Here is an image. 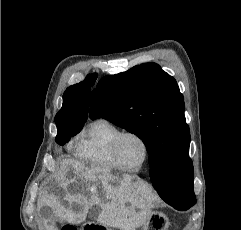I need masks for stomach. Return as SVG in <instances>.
<instances>
[{"label":"stomach","instance_id":"1","mask_svg":"<svg viewBox=\"0 0 241 230\" xmlns=\"http://www.w3.org/2000/svg\"><path fill=\"white\" fill-rule=\"evenodd\" d=\"M88 226H97L98 230H121L119 228L115 227H109L103 224H95V223H88L85 224ZM169 220L167 216L161 212L158 211H151V213L148 215L145 223L140 226V230H168L169 228Z\"/></svg>","mask_w":241,"mask_h":230}]
</instances>
